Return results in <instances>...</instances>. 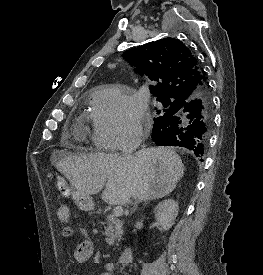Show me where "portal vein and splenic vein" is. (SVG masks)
<instances>
[{
	"instance_id": "obj_1",
	"label": "portal vein and splenic vein",
	"mask_w": 263,
	"mask_h": 275,
	"mask_svg": "<svg viewBox=\"0 0 263 275\" xmlns=\"http://www.w3.org/2000/svg\"><path fill=\"white\" fill-rule=\"evenodd\" d=\"M123 214V208L122 206H116L114 209H113V215L116 216V217H119Z\"/></svg>"
}]
</instances>
